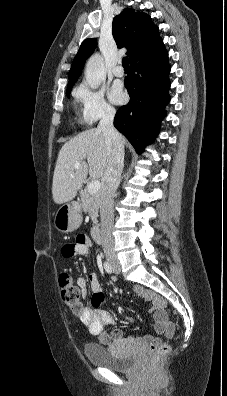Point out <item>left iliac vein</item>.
I'll return each mask as SVG.
<instances>
[{
    "label": "left iliac vein",
    "mask_w": 227,
    "mask_h": 396,
    "mask_svg": "<svg viewBox=\"0 0 227 396\" xmlns=\"http://www.w3.org/2000/svg\"><path fill=\"white\" fill-rule=\"evenodd\" d=\"M113 271L116 274L120 273V265L118 263H113Z\"/></svg>",
    "instance_id": "1"
}]
</instances>
